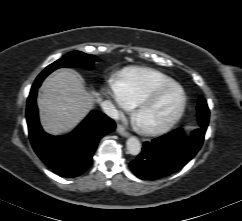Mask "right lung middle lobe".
Here are the masks:
<instances>
[{"label": "right lung middle lobe", "mask_w": 242, "mask_h": 221, "mask_svg": "<svg viewBox=\"0 0 242 221\" xmlns=\"http://www.w3.org/2000/svg\"><path fill=\"white\" fill-rule=\"evenodd\" d=\"M96 61H99V58L94 55L85 54L80 51H73L46 67V69L41 72L35 81H43L48 74L57 68L73 66L92 68L93 63Z\"/></svg>", "instance_id": "obj_1"}]
</instances>
